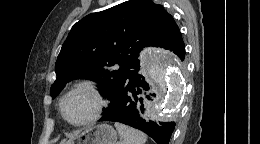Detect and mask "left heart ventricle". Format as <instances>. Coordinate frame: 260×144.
<instances>
[{
	"label": "left heart ventricle",
	"mask_w": 260,
	"mask_h": 144,
	"mask_svg": "<svg viewBox=\"0 0 260 144\" xmlns=\"http://www.w3.org/2000/svg\"><path fill=\"white\" fill-rule=\"evenodd\" d=\"M95 108V100L89 91L80 89L68 97L64 112L71 122H81L87 119Z\"/></svg>",
	"instance_id": "b2bd125f"
}]
</instances>
